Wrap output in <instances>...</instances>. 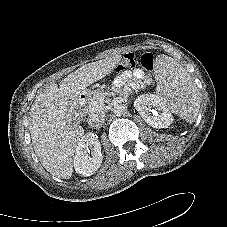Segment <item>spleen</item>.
<instances>
[{
	"label": "spleen",
	"instance_id": "spleen-1",
	"mask_svg": "<svg viewBox=\"0 0 227 227\" xmlns=\"http://www.w3.org/2000/svg\"><path fill=\"white\" fill-rule=\"evenodd\" d=\"M155 77L158 83L157 95L168 110L187 122H194L200 108V95L187 71L173 58L159 55Z\"/></svg>",
	"mask_w": 227,
	"mask_h": 227
}]
</instances>
